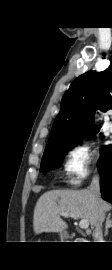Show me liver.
Masks as SVG:
<instances>
[{
  "instance_id": "obj_1",
  "label": "liver",
  "mask_w": 112,
  "mask_h": 270,
  "mask_svg": "<svg viewBox=\"0 0 112 270\" xmlns=\"http://www.w3.org/2000/svg\"><path fill=\"white\" fill-rule=\"evenodd\" d=\"M112 205L96 199L92 192L85 190H51L38 199L33 213V230L42 232H63L67 223L61 218L63 212L73 213L77 218L86 219L94 229L100 211L108 212Z\"/></svg>"
}]
</instances>
